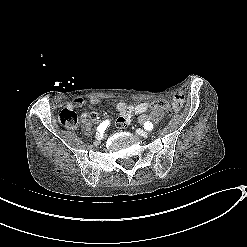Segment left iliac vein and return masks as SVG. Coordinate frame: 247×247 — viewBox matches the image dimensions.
<instances>
[{
    "label": "left iliac vein",
    "mask_w": 247,
    "mask_h": 247,
    "mask_svg": "<svg viewBox=\"0 0 247 247\" xmlns=\"http://www.w3.org/2000/svg\"><path fill=\"white\" fill-rule=\"evenodd\" d=\"M136 132H137L140 136H144V137L148 136V134H149L147 131H145V130H143V129H137Z\"/></svg>",
    "instance_id": "obj_1"
}]
</instances>
